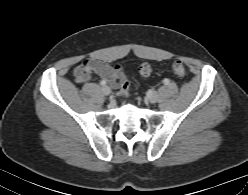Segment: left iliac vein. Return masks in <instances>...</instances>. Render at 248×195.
I'll return each mask as SVG.
<instances>
[{"mask_svg": "<svg viewBox=\"0 0 248 195\" xmlns=\"http://www.w3.org/2000/svg\"><path fill=\"white\" fill-rule=\"evenodd\" d=\"M149 97H150L151 102H153V103L157 102L158 99H159V95H158V93H157L156 91H153V92L150 94Z\"/></svg>", "mask_w": 248, "mask_h": 195, "instance_id": "4c4485c4", "label": "left iliac vein"}]
</instances>
